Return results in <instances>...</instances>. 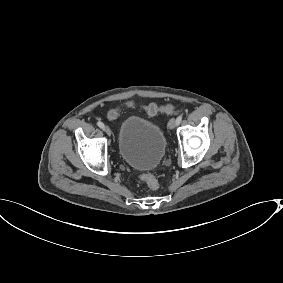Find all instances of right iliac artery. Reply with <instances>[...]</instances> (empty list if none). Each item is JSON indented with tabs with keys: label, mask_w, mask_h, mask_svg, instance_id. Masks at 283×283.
Masks as SVG:
<instances>
[{
	"label": "right iliac artery",
	"mask_w": 283,
	"mask_h": 283,
	"mask_svg": "<svg viewBox=\"0 0 283 283\" xmlns=\"http://www.w3.org/2000/svg\"><path fill=\"white\" fill-rule=\"evenodd\" d=\"M98 127L104 129L105 125L102 122H97Z\"/></svg>",
	"instance_id": "82829eb1"
}]
</instances>
